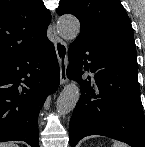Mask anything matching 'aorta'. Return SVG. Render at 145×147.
<instances>
[{"label":"aorta","mask_w":145,"mask_h":147,"mask_svg":"<svg viewBox=\"0 0 145 147\" xmlns=\"http://www.w3.org/2000/svg\"><path fill=\"white\" fill-rule=\"evenodd\" d=\"M57 29L64 40L72 41L79 35V20L72 15H64L58 19ZM80 98V88L76 82H71L64 87L57 99V112L68 114L76 106Z\"/></svg>","instance_id":"aorta-1"}]
</instances>
